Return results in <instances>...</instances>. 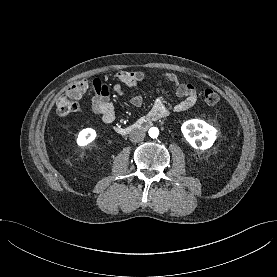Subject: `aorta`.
Returning a JSON list of instances; mask_svg holds the SVG:
<instances>
[{"mask_svg": "<svg viewBox=\"0 0 277 277\" xmlns=\"http://www.w3.org/2000/svg\"><path fill=\"white\" fill-rule=\"evenodd\" d=\"M158 135H159V130H158V128L152 127V128L149 129V136H150L151 138H157Z\"/></svg>", "mask_w": 277, "mask_h": 277, "instance_id": "aorta-1", "label": "aorta"}]
</instances>
